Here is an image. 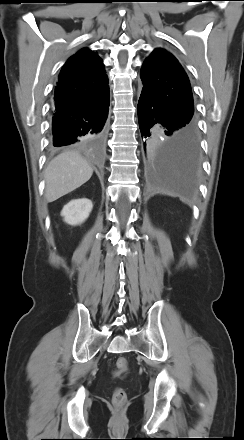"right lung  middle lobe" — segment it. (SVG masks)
<instances>
[{
    "label": "right lung middle lobe",
    "instance_id": "right-lung-middle-lobe-1",
    "mask_svg": "<svg viewBox=\"0 0 244 440\" xmlns=\"http://www.w3.org/2000/svg\"><path fill=\"white\" fill-rule=\"evenodd\" d=\"M101 139H102V138L99 137V136H97V137H91V138L87 139V140L84 141V142H96V141H100Z\"/></svg>",
    "mask_w": 244,
    "mask_h": 440
}]
</instances>
